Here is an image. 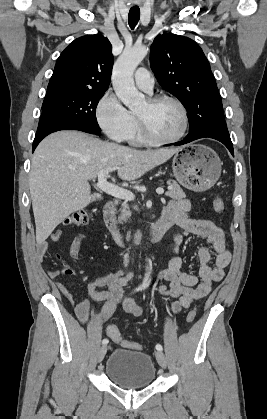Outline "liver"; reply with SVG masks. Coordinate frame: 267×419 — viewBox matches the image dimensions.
Instances as JSON below:
<instances>
[{
    "instance_id": "liver-1",
    "label": "liver",
    "mask_w": 267,
    "mask_h": 419,
    "mask_svg": "<svg viewBox=\"0 0 267 419\" xmlns=\"http://www.w3.org/2000/svg\"><path fill=\"white\" fill-rule=\"evenodd\" d=\"M179 149L137 150L77 131L47 136L34 152L29 175L37 244L70 214L101 199L88 183L101 170L116 168L122 180H136Z\"/></svg>"
}]
</instances>
